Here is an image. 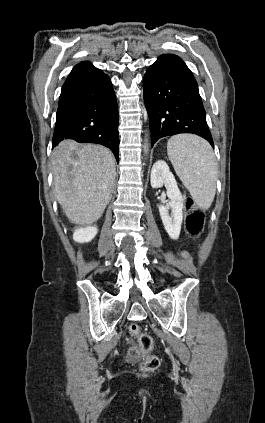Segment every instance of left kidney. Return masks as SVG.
<instances>
[{
    "mask_svg": "<svg viewBox=\"0 0 265 423\" xmlns=\"http://www.w3.org/2000/svg\"><path fill=\"white\" fill-rule=\"evenodd\" d=\"M163 185L167 189V196L170 201L168 207L160 205L159 212L168 235L171 239L176 240L180 235L183 220V196L167 163L163 160H158L154 163L151 170V186L160 188ZM169 208L171 209V214L168 212Z\"/></svg>",
    "mask_w": 265,
    "mask_h": 423,
    "instance_id": "obj_1",
    "label": "left kidney"
}]
</instances>
